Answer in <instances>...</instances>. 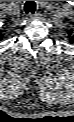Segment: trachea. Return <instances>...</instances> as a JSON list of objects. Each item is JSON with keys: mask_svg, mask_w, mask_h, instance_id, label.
Listing matches in <instances>:
<instances>
[{"mask_svg": "<svg viewBox=\"0 0 74 122\" xmlns=\"http://www.w3.org/2000/svg\"><path fill=\"white\" fill-rule=\"evenodd\" d=\"M36 10V3L35 1H26L24 4V11L26 14H34Z\"/></svg>", "mask_w": 74, "mask_h": 122, "instance_id": "obj_1", "label": "trachea"}]
</instances>
